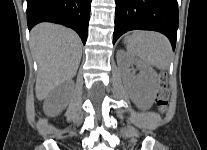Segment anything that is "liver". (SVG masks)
<instances>
[{
  "label": "liver",
  "mask_w": 207,
  "mask_h": 150,
  "mask_svg": "<svg viewBox=\"0 0 207 150\" xmlns=\"http://www.w3.org/2000/svg\"><path fill=\"white\" fill-rule=\"evenodd\" d=\"M31 49L38 64L35 93L38 100H43L76 75L82 56L81 40L73 30L42 23L31 31Z\"/></svg>",
  "instance_id": "1"
}]
</instances>
